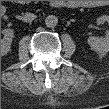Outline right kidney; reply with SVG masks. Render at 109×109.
Masks as SVG:
<instances>
[{
  "mask_svg": "<svg viewBox=\"0 0 109 109\" xmlns=\"http://www.w3.org/2000/svg\"><path fill=\"white\" fill-rule=\"evenodd\" d=\"M4 37L1 39V54L5 55L10 51L14 31L12 29H5L3 31Z\"/></svg>",
  "mask_w": 109,
  "mask_h": 109,
  "instance_id": "ca27d5eb",
  "label": "right kidney"
}]
</instances>
